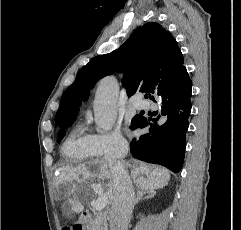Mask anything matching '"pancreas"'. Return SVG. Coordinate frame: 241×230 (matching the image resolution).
<instances>
[{
    "label": "pancreas",
    "instance_id": "obj_1",
    "mask_svg": "<svg viewBox=\"0 0 241 230\" xmlns=\"http://www.w3.org/2000/svg\"><path fill=\"white\" fill-rule=\"evenodd\" d=\"M90 230H107L105 216L101 212H94V218L89 221Z\"/></svg>",
    "mask_w": 241,
    "mask_h": 230
}]
</instances>
